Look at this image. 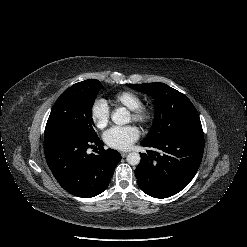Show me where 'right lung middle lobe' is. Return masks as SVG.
Returning <instances> with one entry per match:
<instances>
[{
    "label": "right lung middle lobe",
    "instance_id": "obj_1",
    "mask_svg": "<svg viewBox=\"0 0 247 247\" xmlns=\"http://www.w3.org/2000/svg\"><path fill=\"white\" fill-rule=\"evenodd\" d=\"M102 88L98 80L89 79L66 89L55 102L48 118L45 134L68 131L95 138L92 105Z\"/></svg>",
    "mask_w": 247,
    "mask_h": 247
}]
</instances>
